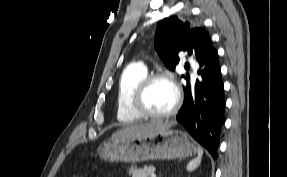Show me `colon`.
I'll return each mask as SVG.
<instances>
[{
    "mask_svg": "<svg viewBox=\"0 0 287 177\" xmlns=\"http://www.w3.org/2000/svg\"><path fill=\"white\" fill-rule=\"evenodd\" d=\"M76 177H84V176H76Z\"/></svg>",
    "mask_w": 287,
    "mask_h": 177,
    "instance_id": "5ec220e1",
    "label": "colon"
}]
</instances>
